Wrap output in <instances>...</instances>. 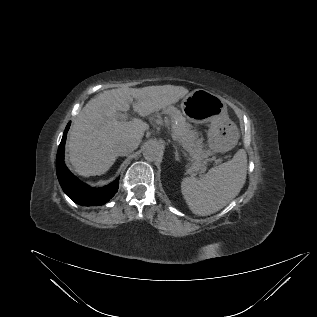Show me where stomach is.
<instances>
[{
  "label": "stomach",
  "instance_id": "obj_1",
  "mask_svg": "<svg viewBox=\"0 0 317 317\" xmlns=\"http://www.w3.org/2000/svg\"><path fill=\"white\" fill-rule=\"evenodd\" d=\"M190 104L204 113L201 121L209 123L208 141L211 150L226 152L236 146L239 131L229 119L222 97L204 89H196L184 98L182 107L186 108Z\"/></svg>",
  "mask_w": 317,
  "mask_h": 317
}]
</instances>
